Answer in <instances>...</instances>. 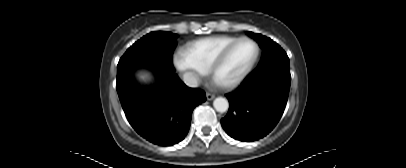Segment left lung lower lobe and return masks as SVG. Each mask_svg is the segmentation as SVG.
Wrapping results in <instances>:
<instances>
[{
	"label": "left lung lower lobe",
	"instance_id": "obj_1",
	"mask_svg": "<svg viewBox=\"0 0 406 168\" xmlns=\"http://www.w3.org/2000/svg\"><path fill=\"white\" fill-rule=\"evenodd\" d=\"M290 72L272 67L255 69L232 93L230 108L221 119L226 133L236 140L263 138L280 120L289 95Z\"/></svg>",
	"mask_w": 406,
	"mask_h": 168
}]
</instances>
